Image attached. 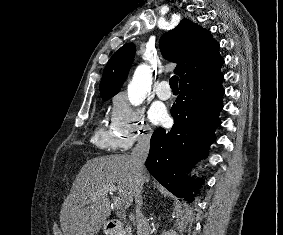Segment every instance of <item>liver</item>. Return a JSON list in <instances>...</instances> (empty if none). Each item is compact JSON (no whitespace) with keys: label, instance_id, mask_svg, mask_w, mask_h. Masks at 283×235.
I'll return each instance as SVG.
<instances>
[{"label":"liver","instance_id":"6515ba94","mask_svg":"<svg viewBox=\"0 0 283 235\" xmlns=\"http://www.w3.org/2000/svg\"><path fill=\"white\" fill-rule=\"evenodd\" d=\"M144 181H149L145 173ZM114 185L122 206H131L135 194V167L131 155L92 158L83 165L64 201L60 224L64 235H96L111 213L106 187Z\"/></svg>","mask_w":283,"mask_h":235}]
</instances>
